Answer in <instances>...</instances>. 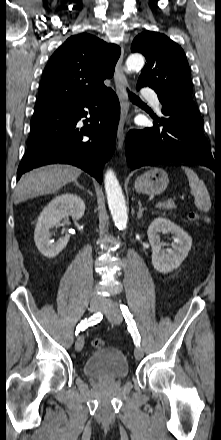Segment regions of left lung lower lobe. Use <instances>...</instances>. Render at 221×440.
<instances>
[{"mask_svg": "<svg viewBox=\"0 0 221 440\" xmlns=\"http://www.w3.org/2000/svg\"><path fill=\"white\" fill-rule=\"evenodd\" d=\"M162 113V118L152 116L154 127L129 131L125 148L130 168L191 162L215 171L217 165L203 133L201 116L163 104Z\"/></svg>", "mask_w": 221, "mask_h": 440, "instance_id": "obj_1", "label": "left lung lower lobe"}]
</instances>
